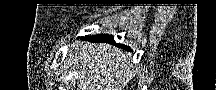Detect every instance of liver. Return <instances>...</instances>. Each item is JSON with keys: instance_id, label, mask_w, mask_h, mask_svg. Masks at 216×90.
Masks as SVG:
<instances>
[{"instance_id": "obj_1", "label": "liver", "mask_w": 216, "mask_h": 90, "mask_svg": "<svg viewBox=\"0 0 216 90\" xmlns=\"http://www.w3.org/2000/svg\"><path fill=\"white\" fill-rule=\"evenodd\" d=\"M70 60L79 76L77 90H123L130 72L131 54L108 44L74 42ZM80 52V54H77Z\"/></svg>"}]
</instances>
